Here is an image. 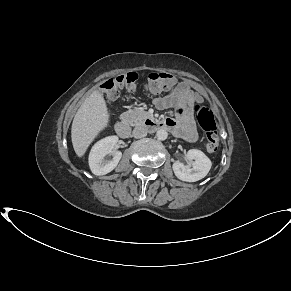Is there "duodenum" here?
<instances>
[{
	"mask_svg": "<svg viewBox=\"0 0 291 291\" xmlns=\"http://www.w3.org/2000/svg\"><path fill=\"white\" fill-rule=\"evenodd\" d=\"M145 125L148 128L155 129V130L167 129V125H166L165 121L164 120H159V119H151V118H149V119L146 120ZM115 130L122 137H125V136L129 135L130 130H129V127H128V124H127L125 118H121L119 121H117L115 123Z\"/></svg>",
	"mask_w": 291,
	"mask_h": 291,
	"instance_id": "410a0bca",
	"label": "duodenum"
}]
</instances>
